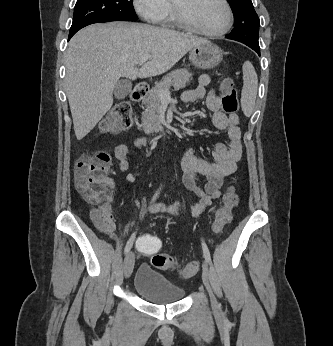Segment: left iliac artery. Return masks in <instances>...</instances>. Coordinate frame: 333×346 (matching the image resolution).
<instances>
[{
  "instance_id": "1",
  "label": "left iliac artery",
  "mask_w": 333,
  "mask_h": 346,
  "mask_svg": "<svg viewBox=\"0 0 333 346\" xmlns=\"http://www.w3.org/2000/svg\"><path fill=\"white\" fill-rule=\"evenodd\" d=\"M202 249H203V255L205 257V260L207 261L208 264H211L210 252L204 241H202Z\"/></svg>"
}]
</instances>
